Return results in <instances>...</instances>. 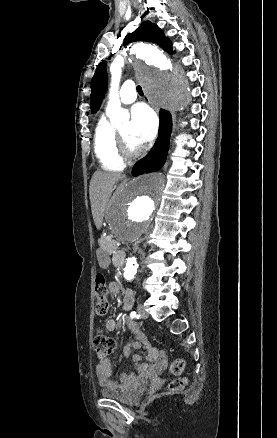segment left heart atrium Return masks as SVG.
Here are the masks:
<instances>
[{"label": "left heart atrium", "mask_w": 277, "mask_h": 438, "mask_svg": "<svg viewBox=\"0 0 277 438\" xmlns=\"http://www.w3.org/2000/svg\"><path fill=\"white\" fill-rule=\"evenodd\" d=\"M131 136L137 147L142 150L156 133L157 119L153 110L146 104L135 105L131 110Z\"/></svg>", "instance_id": "left-heart-atrium-1"}]
</instances>
